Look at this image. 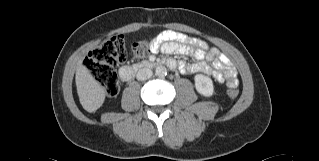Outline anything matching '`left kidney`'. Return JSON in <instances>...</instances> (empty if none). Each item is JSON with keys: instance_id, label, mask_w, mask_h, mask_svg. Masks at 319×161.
I'll return each instance as SVG.
<instances>
[{"instance_id": "obj_1", "label": "left kidney", "mask_w": 319, "mask_h": 161, "mask_svg": "<svg viewBox=\"0 0 319 161\" xmlns=\"http://www.w3.org/2000/svg\"><path fill=\"white\" fill-rule=\"evenodd\" d=\"M194 80H195V88L198 93L206 97H210L213 95L214 87L210 77L202 75V74H197Z\"/></svg>"}]
</instances>
